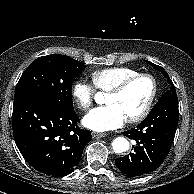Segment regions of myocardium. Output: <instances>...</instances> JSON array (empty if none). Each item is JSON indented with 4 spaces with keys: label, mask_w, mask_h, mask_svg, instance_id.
<instances>
[{
    "label": "myocardium",
    "mask_w": 194,
    "mask_h": 194,
    "mask_svg": "<svg viewBox=\"0 0 194 194\" xmlns=\"http://www.w3.org/2000/svg\"><path fill=\"white\" fill-rule=\"evenodd\" d=\"M139 78H148L151 81L152 92H151V95H150L145 107L143 108V110L139 114H137L136 116L125 120L129 124L141 122L150 113L152 106L154 104V101L156 99L157 93H158V83H157L156 78L149 73H137V74H134L130 77L123 79L115 87H113L111 90L108 91L109 95H119L126 89V87L129 84H131L133 81H135Z\"/></svg>",
    "instance_id": "myocardium-1"
}]
</instances>
